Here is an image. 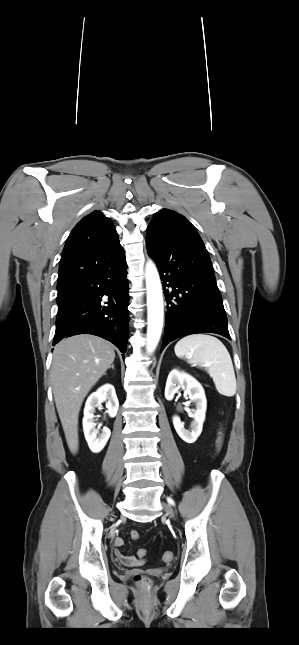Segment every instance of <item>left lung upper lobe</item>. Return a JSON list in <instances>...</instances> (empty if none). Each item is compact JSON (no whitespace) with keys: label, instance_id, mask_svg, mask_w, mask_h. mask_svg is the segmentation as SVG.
<instances>
[{"label":"left lung upper lobe","instance_id":"5c2ea615","mask_svg":"<svg viewBox=\"0 0 299 645\" xmlns=\"http://www.w3.org/2000/svg\"><path fill=\"white\" fill-rule=\"evenodd\" d=\"M183 226L191 229L195 228L190 222L182 215L168 209H162L155 214L154 219L147 228L148 230L163 229L168 226Z\"/></svg>","mask_w":299,"mask_h":645}]
</instances>
